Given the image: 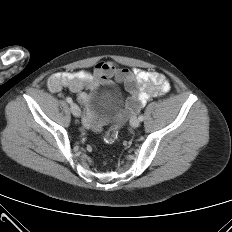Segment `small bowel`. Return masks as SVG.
<instances>
[{
	"label": "small bowel",
	"instance_id": "obj_1",
	"mask_svg": "<svg viewBox=\"0 0 232 232\" xmlns=\"http://www.w3.org/2000/svg\"><path fill=\"white\" fill-rule=\"evenodd\" d=\"M116 82L123 83L130 96L120 120L135 115L149 99L162 96L170 89L165 75L152 70L127 69L119 67L111 61L99 62L92 71H65L53 74L48 80V88L52 92L67 88L77 96L83 105H89L83 119L86 127L94 131L101 128L97 120L93 101L100 86L116 89Z\"/></svg>",
	"mask_w": 232,
	"mask_h": 232
}]
</instances>
